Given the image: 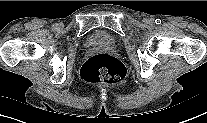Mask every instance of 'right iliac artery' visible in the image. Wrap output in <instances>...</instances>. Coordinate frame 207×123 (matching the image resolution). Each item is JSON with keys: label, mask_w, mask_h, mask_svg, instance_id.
Returning <instances> with one entry per match:
<instances>
[{"label": "right iliac artery", "mask_w": 207, "mask_h": 123, "mask_svg": "<svg viewBox=\"0 0 207 123\" xmlns=\"http://www.w3.org/2000/svg\"><path fill=\"white\" fill-rule=\"evenodd\" d=\"M53 29H57V27H58V24L57 23H55V24H53Z\"/></svg>", "instance_id": "obj_1"}]
</instances>
